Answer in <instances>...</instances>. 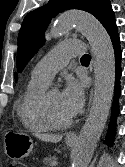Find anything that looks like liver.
Instances as JSON below:
<instances>
[{
  "label": "liver",
  "mask_w": 125,
  "mask_h": 167,
  "mask_svg": "<svg viewBox=\"0 0 125 167\" xmlns=\"http://www.w3.org/2000/svg\"><path fill=\"white\" fill-rule=\"evenodd\" d=\"M36 136L42 141L57 143L62 140V135L56 134H36Z\"/></svg>",
  "instance_id": "obj_1"
}]
</instances>
